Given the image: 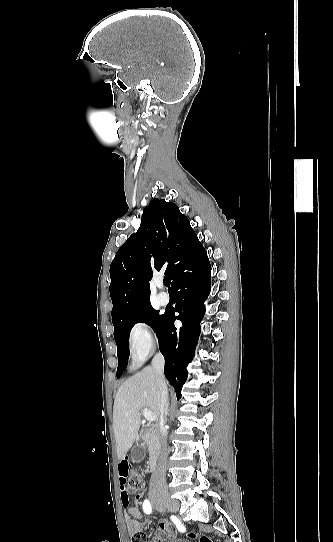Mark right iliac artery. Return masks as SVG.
I'll use <instances>...</instances> for the list:
<instances>
[{"instance_id":"82829eb1","label":"right iliac artery","mask_w":333,"mask_h":542,"mask_svg":"<svg viewBox=\"0 0 333 542\" xmlns=\"http://www.w3.org/2000/svg\"><path fill=\"white\" fill-rule=\"evenodd\" d=\"M143 510L146 514H150L151 513V505H150V502L148 500H145L144 503H143Z\"/></svg>"}]
</instances>
